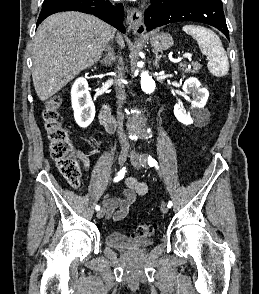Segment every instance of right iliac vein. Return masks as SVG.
<instances>
[{
    "label": "right iliac vein",
    "instance_id": "obj_1",
    "mask_svg": "<svg viewBox=\"0 0 259 294\" xmlns=\"http://www.w3.org/2000/svg\"><path fill=\"white\" fill-rule=\"evenodd\" d=\"M129 155V149L128 148H122L118 157V163L119 165H124V163L127 160V157ZM105 215V208H101L98 212H97V218L101 219L103 216Z\"/></svg>",
    "mask_w": 259,
    "mask_h": 294
}]
</instances>
